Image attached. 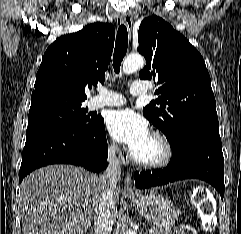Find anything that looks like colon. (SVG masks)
I'll list each match as a JSON object with an SVG mask.
<instances>
[{
	"mask_svg": "<svg viewBox=\"0 0 241 234\" xmlns=\"http://www.w3.org/2000/svg\"><path fill=\"white\" fill-rule=\"evenodd\" d=\"M194 204L198 207V210L202 217H208L214 210L213 202L209 197V193L205 189H199L194 195Z\"/></svg>",
	"mask_w": 241,
	"mask_h": 234,
	"instance_id": "obj_1",
	"label": "colon"
}]
</instances>
